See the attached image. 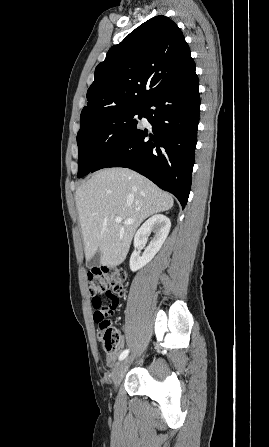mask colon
Wrapping results in <instances>:
<instances>
[{"label": "colon", "mask_w": 269, "mask_h": 447, "mask_svg": "<svg viewBox=\"0 0 269 447\" xmlns=\"http://www.w3.org/2000/svg\"><path fill=\"white\" fill-rule=\"evenodd\" d=\"M88 291L96 311L92 317L98 324V338L103 350L111 353L117 349L122 341V335L117 331L107 316L122 303L126 295V284L121 273H105L100 266H91L87 273ZM107 297L109 304L102 301L99 296Z\"/></svg>", "instance_id": "5ec220e1"}]
</instances>
